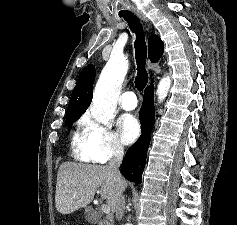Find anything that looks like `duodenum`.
Instances as JSON below:
<instances>
[{
	"label": "duodenum",
	"mask_w": 237,
	"mask_h": 225,
	"mask_svg": "<svg viewBox=\"0 0 237 225\" xmlns=\"http://www.w3.org/2000/svg\"><path fill=\"white\" fill-rule=\"evenodd\" d=\"M97 225H110V224L107 221L102 220V221H99Z\"/></svg>",
	"instance_id": "1"
}]
</instances>
